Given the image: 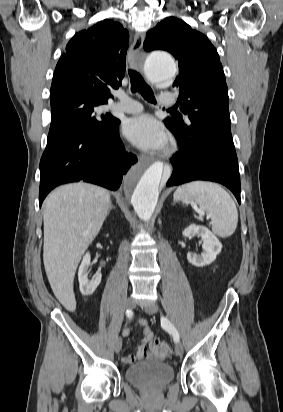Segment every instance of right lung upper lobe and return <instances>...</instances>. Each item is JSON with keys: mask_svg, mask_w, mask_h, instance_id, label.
I'll list each match as a JSON object with an SVG mask.
<instances>
[{"mask_svg": "<svg viewBox=\"0 0 283 412\" xmlns=\"http://www.w3.org/2000/svg\"><path fill=\"white\" fill-rule=\"evenodd\" d=\"M127 48L128 31L112 20L75 34L55 68L51 115L81 102L107 104L124 77Z\"/></svg>", "mask_w": 283, "mask_h": 412, "instance_id": "right-lung-upper-lobe-1", "label": "right lung upper lobe"}]
</instances>
